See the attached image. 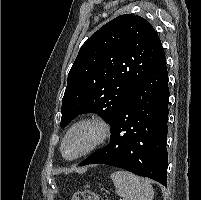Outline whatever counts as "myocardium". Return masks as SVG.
<instances>
[{
    "instance_id": "f54148a6",
    "label": "myocardium",
    "mask_w": 201,
    "mask_h": 200,
    "mask_svg": "<svg viewBox=\"0 0 201 200\" xmlns=\"http://www.w3.org/2000/svg\"><path fill=\"white\" fill-rule=\"evenodd\" d=\"M81 126H88V127L93 128L96 132L95 138L87 149H85L80 154L69 158L64 153L65 142H66L67 138L69 137V135L76 128L81 127ZM111 134H112L111 125L103 117H100L97 115L86 116L84 118L77 120L75 123H73L69 127L67 132L65 133V135L62 139V142H61V146H60L61 154L66 160H69V161L78 160V159L90 154L91 152L97 150L98 148L102 147L104 144H106L108 142V140L110 139Z\"/></svg>"
}]
</instances>
